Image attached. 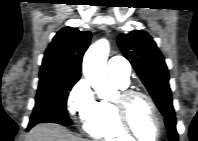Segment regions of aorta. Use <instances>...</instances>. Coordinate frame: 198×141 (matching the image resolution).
Wrapping results in <instances>:
<instances>
[{
    "label": "aorta",
    "mask_w": 198,
    "mask_h": 141,
    "mask_svg": "<svg viewBox=\"0 0 198 141\" xmlns=\"http://www.w3.org/2000/svg\"><path fill=\"white\" fill-rule=\"evenodd\" d=\"M110 51L109 41L100 39L92 44L83 58V73L98 97L112 100L116 89L107 75V58Z\"/></svg>",
    "instance_id": "762f6f07"
}]
</instances>
